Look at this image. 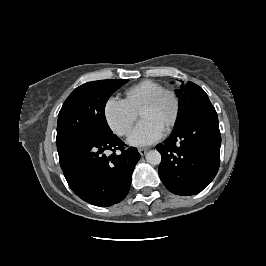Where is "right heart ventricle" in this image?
<instances>
[{
	"mask_svg": "<svg viewBox=\"0 0 266 266\" xmlns=\"http://www.w3.org/2000/svg\"><path fill=\"white\" fill-rule=\"evenodd\" d=\"M163 88L160 83L150 80L142 81L126 90V101L135 111L139 112L145 102Z\"/></svg>",
	"mask_w": 266,
	"mask_h": 266,
	"instance_id": "1",
	"label": "right heart ventricle"
}]
</instances>
